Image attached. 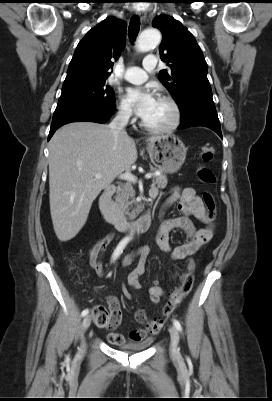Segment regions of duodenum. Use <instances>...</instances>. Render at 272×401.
Here are the masks:
<instances>
[{
	"label": "duodenum",
	"mask_w": 272,
	"mask_h": 401,
	"mask_svg": "<svg viewBox=\"0 0 272 401\" xmlns=\"http://www.w3.org/2000/svg\"><path fill=\"white\" fill-rule=\"evenodd\" d=\"M116 192L113 185L107 186L99 198V208L105 220L119 231H133L142 233L148 230L151 225V217L148 213L143 214L136 220H129L118 214L112 204V197ZM153 198V197H152Z\"/></svg>",
	"instance_id": "obj_1"
}]
</instances>
